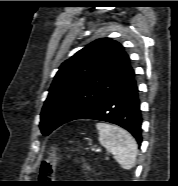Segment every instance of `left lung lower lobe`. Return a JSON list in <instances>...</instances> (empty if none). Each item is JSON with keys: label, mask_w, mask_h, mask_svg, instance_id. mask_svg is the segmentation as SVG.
Masks as SVG:
<instances>
[{"label": "left lung lower lobe", "mask_w": 178, "mask_h": 186, "mask_svg": "<svg viewBox=\"0 0 178 186\" xmlns=\"http://www.w3.org/2000/svg\"><path fill=\"white\" fill-rule=\"evenodd\" d=\"M76 119H93L119 125L128 130L140 144L142 115L135 75L73 120Z\"/></svg>", "instance_id": "left-lung-lower-lobe-1"}]
</instances>
